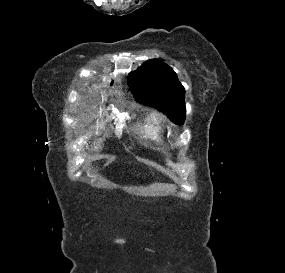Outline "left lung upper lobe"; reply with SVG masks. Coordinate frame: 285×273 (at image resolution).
<instances>
[{
	"mask_svg": "<svg viewBox=\"0 0 285 273\" xmlns=\"http://www.w3.org/2000/svg\"><path fill=\"white\" fill-rule=\"evenodd\" d=\"M128 84L137 101L154 106L176 124L184 123V87L163 62H145L129 75Z\"/></svg>",
	"mask_w": 285,
	"mask_h": 273,
	"instance_id": "left-lung-upper-lobe-1",
	"label": "left lung upper lobe"
}]
</instances>
